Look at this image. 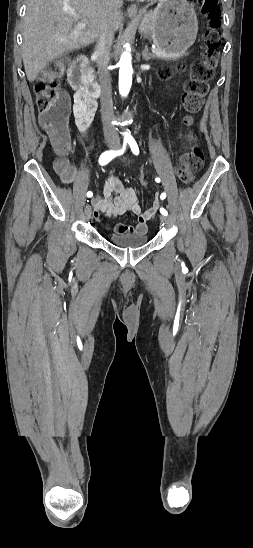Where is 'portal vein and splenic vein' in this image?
Here are the masks:
<instances>
[{
  "label": "portal vein and splenic vein",
  "mask_w": 253,
  "mask_h": 548,
  "mask_svg": "<svg viewBox=\"0 0 253 548\" xmlns=\"http://www.w3.org/2000/svg\"><path fill=\"white\" fill-rule=\"evenodd\" d=\"M86 25L85 24H81L79 27H85ZM156 48L153 46L152 47V50H155Z\"/></svg>",
  "instance_id": "1"
}]
</instances>
